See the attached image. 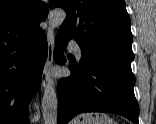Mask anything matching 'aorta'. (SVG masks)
<instances>
[{"label":"aorta","instance_id":"obj_1","mask_svg":"<svg viewBox=\"0 0 156 124\" xmlns=\"http://www.w3.org/2000/svg\"><path fill=\"white\" fill-rule=\"evenodd\" d=\"M66 18V13L62 9L51 10L48 14V22L50 27H60ZM58 99L57 94L52 85H47L42 98V114L44 124L57 123Z\"/></svg>","mask_w":156,"mask_h":124}]
</instances>
